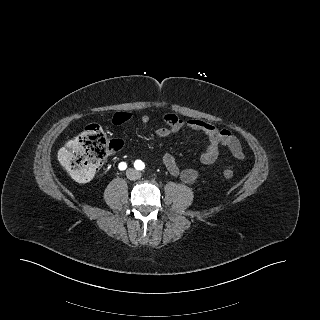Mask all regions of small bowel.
<instances>
[{
	"mask_svg": "<svg viewBox=\"0 0 320 320\" xmlns=\"http://www.w3.org/2000/svg\"><path fill=\"white\" fill-rule=\"evenodd\" d=\"M131 117L132 115L128 112H118L113 116L112 121L115 125H122L128 122ZM149 121L148 115H142V123L147 124ZM164 122L165 126L157 128L154 132V136L158 139L166 138L183 130L202 132L206 135L208 145L200 158L204 165H211L217 160L221 147L227 148L231 155L237 159H242L244 156L239 139L227 129H219L201 119L180 118L172 113L164 115ZM162 164L171 175L180 177L187 184L194 183L199 177V172L195 168L181 169L175 156L171 153L162 156Z\"/></svg>",
	"mask_w": 320,
	"mask_h": 320,
	"instance_id": "1",
	"label": "small bowel"
}]
</instances>
